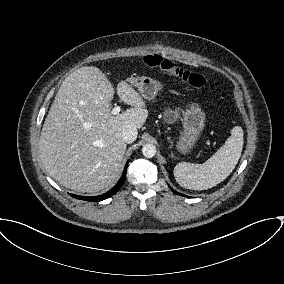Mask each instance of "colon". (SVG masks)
<instances>
[{
    "label": "colon",
    "instance_id": "colon-1",
    "mask_svg": "<svg viewBox=\"0 0 284 284\" xmlns=\"http://www.w3.org/2000/svg\"><path fill=\"white\" fill-rule=\"evenodd\" d=\"M144 60L148 67L160 69L194 88L200 89L206 84V79L203 75L183 69L169 59L158 55H150Z\"/></svg>",
    "mask_w": 284,
    "mask_h": 284
}]
</instances>
